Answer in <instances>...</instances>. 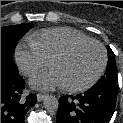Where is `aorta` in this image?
Masks as SVG:
<instances>
[{"instance_id":"obj_1","label":"aorta","mask_w":123,"mask_h":123,"mask_svg":"<svg viewBox=\"0 0 123 123\" xmlns=\"http://www.w3.org/2000/svg\"><path fill=\"white\" fill-rule=\"evenodd\" d=\"M43 105L48 112H54L58 109L59 101L55 96L47 95L44 98Z\"/></svg>"}]
</instances>
